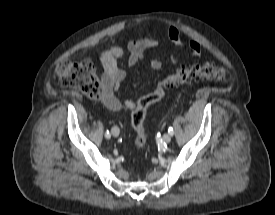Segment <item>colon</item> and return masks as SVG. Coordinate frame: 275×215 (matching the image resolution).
Wrapping results in <instances>:
<instances>
[{
    "label": "colon",
    "instance_id": "1",
    "mask_svg": "<svg viewBox=\"0 0 275 215\" xmlns=\"http://www.w3.org/2000/svg\"><path fill=\"white\" fill-rule=\"evenodd\" d=\"M60 82L65 87L78 89L88 98L96 99L102 94V86L97 78L91 61L63 60L57 66ZM230 72L223 66L205 62L190 67H182L175 73L168 75L157 83L155 89L148 95L141 97L131 115V124L136 133L134 145L137 150L142 149L147 142V131L144 126L148 107L159 101L166 89L176 88L191 81L215 80L227 82Z\"/></svg>",
    "mask_w": 275,
    "mask_h": 215
}]
</instances>
